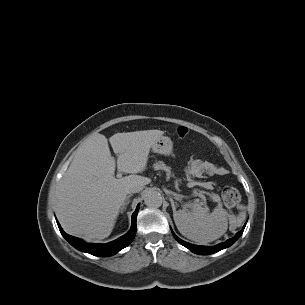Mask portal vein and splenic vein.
<instances>
[{"mask_svg":"<svg viewBox=\"0 0 305 305\" xmlns=\"http://www.w3.org/2000/svg\"><path fill=\"white\" fill-rule=\"evenodd\" d=\"M122 177V174L121 173H118L117 174V178H121ZM200 195V197L202 198V200H203V202H201V204L202 205H204L205 207H206V198L203 196V195H201V194H199ZM207 208V207H206ZM208 209V208H207Z\"/></svg>","mask_w":305,"mask_h":305,"instance_id":"18ae733b","label":"portal vein and splenic vein"}]
</instances>
